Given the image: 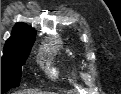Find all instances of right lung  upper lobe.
Returning <instances> with one entry per match:
<instances>
[{
    "label": "right lung upper lobe",
    "instance_id": "right-lung-upper-lobe-1",
    "mask_svg": "<svg viewBox=\"0 0 121 94\" xmlns=\"http://www.w3.org/2000/svg\"><path fill=\"white\" fill-rule=\"evenodd\" d=\"M35 30L24 23H17L5 45L13 44L34 35Z\"/></svg>",
    "mask_w": 121,
    "mask_h": 94
}]
</instances>
